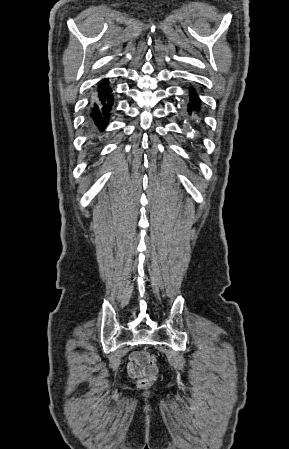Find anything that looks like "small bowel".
Listing matches in <instances>:
<instances>
[{"mask_svg":"<svg viewBox=\"0 0 289 449\" xmlns=\"http://www.w3.org/2000/svg\"><path fill=\"white\" fill-rule=\"evenodd\" d=\"M146 352L134 351L130 354L127 371L132 378L139 379L151 373H157L158 368L150 365L146 360Z\"/></svg>","mask_w":289,"mask_h":449,"instance_id":"obj_1","label":"small bowel"}]
</instances>
